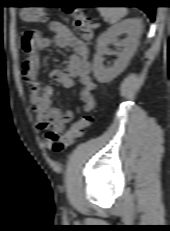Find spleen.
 Listing matches in <instances>:
<instances>
[{
    "instance_id": "obj_1",
    "label": "spleen",
    "mask_w": 170,
    "mask_h": 231,
    "mask_svg": "<svg viewBox=\"0 0 170 231\" xmlns=\"http://www.w3.org/2000/svg\"><path fill=\"white\" fill-rule=\"evenodd\" d=\"M98 11L102 17L109 20L110 24L118 22L127 14V9L124 7H99Z\"/></svg>"
}]
</instances>
